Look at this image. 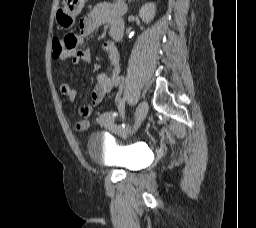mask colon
<instances>
[{
  "label": "colon",
  "mask_w": 256,
  "mask_h": 228,
  "mask_svg": "<svg viewBox=\"0 0 256 228\" xmlns=\"http://www.w3.org/2000/svg\"><path fill=\"white\" fill-rule=\"evenodd\" d=\"M63 50V42L59 39H55L53 42V55L58 57ZM116 120L115 112H105L99 115L97 118V125L100 127H108L111 124H114Z\"/></svg>",
  "instance_id": "1"
}]
</instances>
